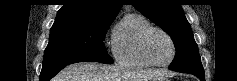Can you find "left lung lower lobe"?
Instances as JSON below:
<instances>
[{"label": "left lung lower lobe", "mask_w": 237, "mask_h": 81, "mask_svg": "<svg viewBox=\"0 0 237 81\" xmlns=\"http://www.w3.org/2000/svg\"><path fill=\"white\" fill-rule=\"evenodd\" d=\"M193 75L197 76L201 81H205L204 74H193Z\"/></svg>", "instance_id": "obj_1"}]
</instances>
